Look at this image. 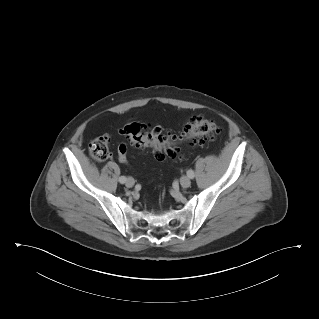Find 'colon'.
I'll return each instance as SVG.
<instances>
[{
  "mask_svg": "<svg viewBox=\"0 0 319 319\" xmlns=\"http://www.w3.org/2000/svg\"><path fill=\"white\" fill-rule=\"evenodd\" d=\"M122 133L130 143L139 150L151 149L156 160L176 159L181 157L179 144L192 142L200 144L214 140L220 133L221 127L213 120L204 116H193L178 134H172L161 127L130 122L122 129ZM90 155L99 161L110 156L109 143L106 137H98L89 145ZM121 162L127 161V147L121 144L118 148Z\"/></svg>",
  "mask_w": 319,
  "mask_h": 319,
  "instance_id": "5ec220e1",
  "label": "colon"
}]
</instances>
